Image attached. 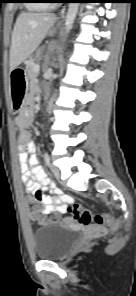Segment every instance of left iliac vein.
Listing matches in <instances>:
<instances>
[{
	"mask_svg": "<svg viewBox=\"0 0 136 296\" xmlns=\"http://www.w3.org/2000/svg\"><path fill=\"white\" fill-rule=\"evenodd\" d=\"M50 170H51V173L53 174V176H55L56 178H60L61 173H60V170L58 167L51 165Z\"/></svg>",
	"mask_w": 136,
	"mask_h": 296,
	"instance_id": "4c4485c4",
	"label": "left iliac vein"
}]
</instances>
